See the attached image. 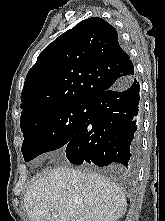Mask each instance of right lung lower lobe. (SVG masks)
I'll list each match as a JSON object with an SVG mask.
<instances>
[{
	"mask_svg": "<svg viewBox=\"0 0 165 221\" xmlns=\"http://www.w3.org/2000/svg\"><path fill=\"white\" fill-rule=\"evenodd\" d=\"M140 85L136 78L108 89L89 103L86 123L66 145L72 164L137 168L140 156Z\"/></svg>",
	"mask_w": 165,
	"mask_h": 221,
	"instance_id": "98d812e1",
	"label": "right lung lower lobe"
}]
</instances>
